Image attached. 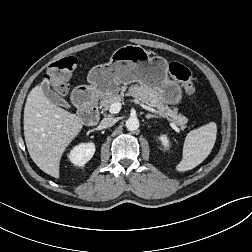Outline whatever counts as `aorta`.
Listing matches in <instances>:
<instances>
[{
	"label": "aorta",
	"mask_w": 252,
	"mask_h": 252,
	"mask_svg": "<svg viewBox=\"0 0 252 252\" xmlns=\"http://www.w3.org/2000/svg\"><path fill=\"white\" fill-rule=\"evenodd\" d=\"M127 130L135 131L139 128V120L136 117H129L125 124Z\"/></svg>",
	"instance_id": "1"
}]
</instances>
